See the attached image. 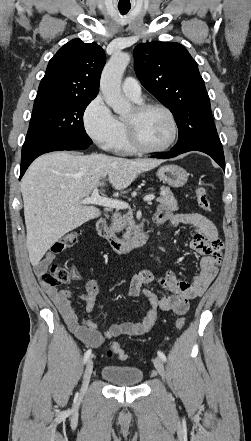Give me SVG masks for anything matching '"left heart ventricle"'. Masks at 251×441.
Wrapping results in <instances>:
<instances>
[{
    "instance_id": "b2bd125f",
    "label": "left heart ventricle",
    "mask_w": 251,
    "mask_h": 441,
    "mask_svg": "<svg viewBox=\"0 0 251 441\" xmlns=\"http://www.w3.org/2000/svg\"><path fill=\"white\" fill-rule=\"evenodd\" d=\"M126 119L136 122L142 141L150 147L163 146L172 136L170 119L162 110L151 109L141 116H136L133 108Z\"/></svg>"
}]
</instances>
